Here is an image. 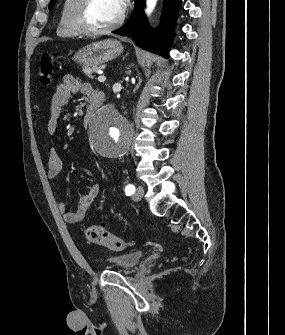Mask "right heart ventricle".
<instances>
[{
    "label": "right heart ventricle",
    "mask_w": 285,
    "mask_h": 335,
    "mask_svg": "<svg viewBox=\"0 0 285 335\" xmlns=\"http://www.w3.org/2000/svg\"><path fill=\"white\" fill-rule=\"evenodd\" d=\"M78 1H63L57 35L63 39H77L81 36L75 24Z\"/></svg>",
    "instance_id": "right-heart-ventricle-1"
}]
</instances>
